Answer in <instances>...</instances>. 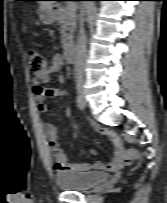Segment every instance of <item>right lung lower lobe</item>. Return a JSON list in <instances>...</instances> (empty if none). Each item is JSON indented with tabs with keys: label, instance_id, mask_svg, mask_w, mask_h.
Returning <instances> with one entry per match:
<instances>
[{
	"label": "right lung lower lobe",
	"instance_id": "obj_1",
	"mask_svg": "<svg viewBox=\"0 0 167 203\" xmlns=\"http://www.w3.org/2000/svg\"><path fill=\"white\" fill-rule=\"evenodd\" d=\"M54 1H59V0H54ZM78 1H86V0H78ZM91 1H100V0H91Z\"/></svg>",
	"mask_w": 167,
	"mask_h": 203
}]
</instances>
